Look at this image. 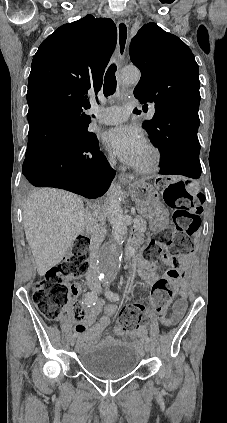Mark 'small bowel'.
Segmentation results:
<instances>
[{"label":"small bowel","mask_w":227,"mask_h":423,"mask_svg":"<svg viewBox=\"0 0 227 423\" xmlns=\"http://www.w3.org/2000/svg\"><path fill=\"white\" fill-rule=\"evenodd\" d=\"M189 257H187L188 259ZM179 264V263H178ZM138 266L140 268L144 284L147 286L154 285L159 279V269L157 265L153 262L147 261L145 258H139ZM182 272H184V267L180 265ZM75 292L77 294L80 287L79 285H74ZM181 297L174 303L172 314L167 316L166 312H160L158 317L153 313H150V323L149 325H154L157 321L166 327L175 325L182 317L186 308V288L183 284L180 291ZM104 311L103 316L98 322H95L97 316ZM117 311V306L114 303L105 304L103 301L99 300L95 305L90 306L88 310H83V318L79 320L76 326V332L79 335L78 348L81 350L90 348L95 345L101 337L103 331L108 327L111 322L112 317ZM118 335H123V332L119 329H116ZM147 334V329L145 327H140L137 330L130 331L128 335L133 338H138L139 343H142L145 335ZM113 338H105L102 340L103 343L113 342Z\"/></svg>","instance_id":"obj_1"}]
</instances>
